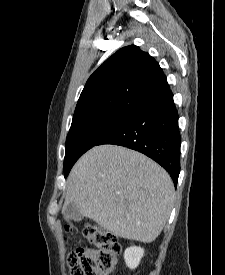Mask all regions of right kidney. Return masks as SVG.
I'll return each instance as SVG.
<instances>
[{
	"mask_svg": "<svg viewBox=\"0 0 225 275\" xmlns=\"http://www.w3.org/2000/svg\"><path fill=\"white\" fill-rule=\"evenodd\" d=\"M144 255V249L137 246L129 247L124 252V259L126 265L130 269H135L140 263L141 258Z\"/></svg>",
	"mask_w": 225,
	"mask_h": 275,
	"instance_id": "ca27d5eb",
	"label": "right kidney"
}]
</instances>
